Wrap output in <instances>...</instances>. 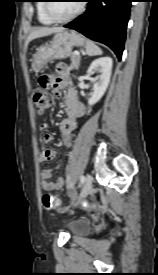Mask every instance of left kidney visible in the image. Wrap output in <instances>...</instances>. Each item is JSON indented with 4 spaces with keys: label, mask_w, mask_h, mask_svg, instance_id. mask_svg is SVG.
Here are the masks:
<instances>
[{
    "label": "left kidney",
    "mask_w": 158,
    "mask_h": 275,
    "mask_svg": "<svg viewBox=\"0 0 158 275\" xmlns=\"http://www.w3.org/2000/svg\"><path fill=\"white\" fill-rule=\"evenodd\" d=\"M112 59L110 57H100L94 60L87 70V74L99 73L98 80L94 82L93 94L88 103L89 105L96 104L104 95L111 77Z\"/></svg>",
    "instance_id": "left-kidney-1"
}]
</instances>
